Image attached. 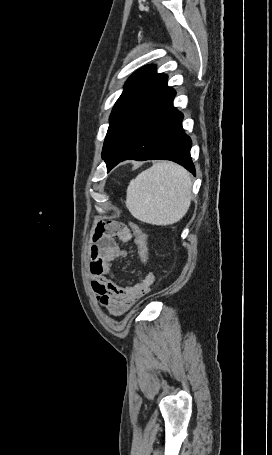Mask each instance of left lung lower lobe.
I'll use <instances>...</instances> for the list:
<instances>
[{
  "label": "left lung lower lobe",
  "mask_w": 272,
  "mask_h": 455,
  "mask_svg": "<svg viewBox=\"0 0 272 455\" xmlns=\"http://www.w3.org/2000/svg\"><path fill=\"white\" fill-rule=\"evenodd\" d=\"M176 92L167 87L125 125L104 160L109 172L127 159L174 161L195 175L191 139L182 128L183 114L173 106Z\"/></svg>",
  "instance_id": "left-lung-lower-lobe-1"
}]
</instances>
